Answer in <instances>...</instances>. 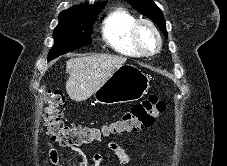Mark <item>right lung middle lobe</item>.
I'll return each mask as SVG.
<instances>
[{"label":"right lung middle lobe","mask_w":227,"mask_h":166,"mask_svg":"<svg viewBox=\"0 0 227 166\" xmlns=\"http://www.w3.org/2000/svg\"><path fill=\"white\" fill-rule=\"evenodd\" d=\"M104 5L79 13L60 14L59 24L54 29V46L49 52V60L59 55L91 44L92 26L98 10Z\"/></svg>","instance_id":"obj_1"}]
</instances>
